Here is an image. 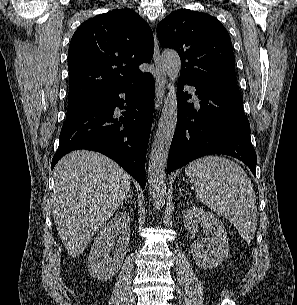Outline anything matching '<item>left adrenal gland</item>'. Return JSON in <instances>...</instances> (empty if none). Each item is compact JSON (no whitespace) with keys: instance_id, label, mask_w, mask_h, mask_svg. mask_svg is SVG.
I'll list each match as a JSON object with an SVG mask.
<instances>
[{"instance_id":"left-adrenal-gland-1","label":"left adrenal gland","mask_w":297,"mask_h":305,"mask_svg":"<svg viewBox=\"0 0 297 305\" xmlns=\"http://www.w3.org/2000/svg\"><path fill=\"white\" fill-rule=\"evenodd\" d=\"M185 191L184 189L180 188L179 189V195L182 196V192ZM186 192V191H185Z\"/></svg>"}]
</instances>
